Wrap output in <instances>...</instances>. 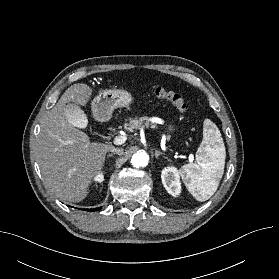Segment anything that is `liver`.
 Returning a JSON list of instances; mask_svg holds the SVG:
<instances>
[{"label":"liver","mask_w":279,"mask_h":279,"mask_svg":"<svg viewBox=\"0 0 279 279\" xmlns=\"http://www.w3.org/2000/svg\"><path fill=\"white\" fill-rule=\"evenodd\" d=\"M92 92L87 84L71 85L48 112L37 136L36 158L44 184L64 201L80 202L87 197L106 153L112 149L111 145L91 142L67 118L66 105L85 106Z\"/></svg>","instance_id":"obj_1"}]
</instances>
